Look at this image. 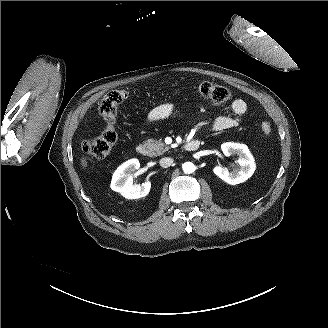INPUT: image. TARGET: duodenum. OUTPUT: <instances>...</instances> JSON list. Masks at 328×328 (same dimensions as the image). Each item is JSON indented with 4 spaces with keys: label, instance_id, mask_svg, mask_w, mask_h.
<instances>
[{
    "label": "duodenum",
    "instance_id": "410a0bca",
    "mask_svg": "<svg viewBox=\"0 0 328 328\" xmlns=\"http://www.w3.org/2000/svg\"><path fill=\"white\" fill-rule=\"evenodd\" d=\"M200 147V141L198 139L190 140L185 143L184 150L192 152ZM136 152L141 156H146L148 154V149L144 144H139L136 147Z\"/></svg>",
    "mask_w": 328,
    "mask_h": 328
}]
</instances>
